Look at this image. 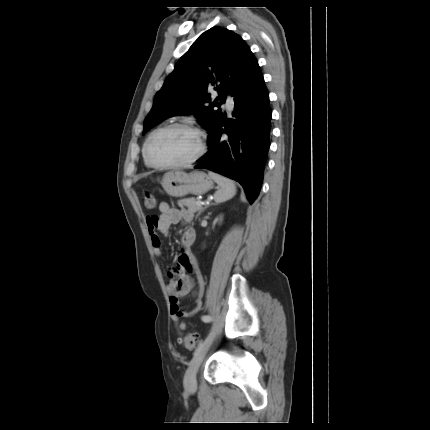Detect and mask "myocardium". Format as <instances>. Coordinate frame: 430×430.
I'll return each mask as SVG.
<instances>
[{
  "mask_svg": "<svg viewBox=\"0 0 430 430\" xmlns=\"http://www.w3.org/2000/svg\"><path fill=\"white\" fill-rule=\"evenodd\" d=\"M174 128H183V129H187V130H190V131L196 133L198 138H199L198 151L196 152V154L194 156H192L191 158H189L185 161H182V162L171 163V164H160V163L155 162L150 155V146H151L152 141L159 134H161L167 130L174 129ZM206 148H207V139H206L205 133L198 126H196L192 123L180 121V122L169 123L163 127L158 128L153 133H151L150 136L147 138L145 145H144V155H145L147 162L154 168L161 169V170L177 169V168L187 167V166L197 162L205 154Z\"/></svg>",
  "mask_w": 430,
  "mask_h": 430,
  "instance_id": "obj_1",
  "label": "myocardium"
}]
</instances>
